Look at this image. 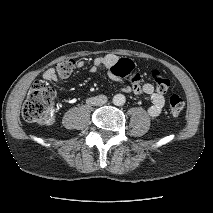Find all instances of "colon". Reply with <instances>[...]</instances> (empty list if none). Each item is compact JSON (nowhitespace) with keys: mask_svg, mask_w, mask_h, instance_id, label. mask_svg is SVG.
I'll use <instances>...</instances> for the list:
<instances>
[{"mask_svg":"<svg viewBox=\"0 0 213 213\" xmlns=\"http://www.w3.org/2000/svg\"><path fill=\"white\" fill-rule=\"evenodd\" d=\"M57 73L67 77L74 69V61L65 60L55 65ZM134 70V63L126 58L120 59L113 67L112 74L118 78L129 77ZM152 80L156 89L164 93L170 86V80L163 76L159 70L152 71ZM55 91L45 82L36 81L29 90L28 96L22 108V117L25 121L40 125H50L55 121L57 106L55 103ZM184 109L183 99L173 94L169 98V110L172 115L178 116Z\"/></svg>","mask_w":213,"mask_h":213,"instance_id":"1","label":"colon"}]
</instances>
